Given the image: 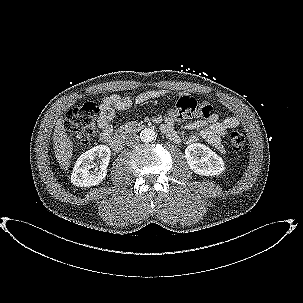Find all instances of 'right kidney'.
Listing matches in <instances>:
<instances>
[{
	"label": "right kidney",
	"mask_w": 303,
	"mask_h": 303,
	"mask_svg": "<svg viewBox=\"0 0 303 303\" xmlns=\"http://www.w3.org/2000/svg\"><path fill=\"white\" fill-rule=\"evenodd\" d=\"M111 151L106 145H98L83 153L76 161L71 182L78 187H90L101 183L107 175ZM100 158L99 168H93L94 159Z\"/></svg>",
	"instance_id": "1"
}]
</instances>
